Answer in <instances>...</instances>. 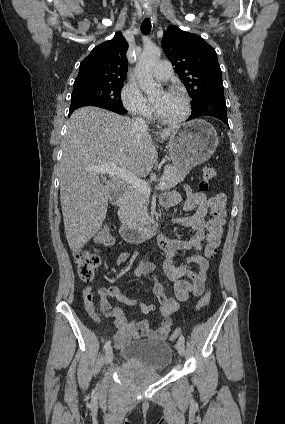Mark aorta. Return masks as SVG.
Instances as JSON below:
<instances>
[{
  "instance_id": "aorta-1",
  "label": "aorta",
  "mask_w": 285,
  "mask_h": 424,
  "mask_svg": "<svg viewBox=\"0 0 285 424\" xmlns=\"http://www.w3.org/2000/svg\"><path fill=\"white\" fill-rule=\"evenodd\" d=\"M161 49L152 46L147 47L141 53L137 66L136 76L141 90L148 96L160 93L162 87L153 80L152 69L155 63L160 59Z\"/></svg>"
}]
</instances>
